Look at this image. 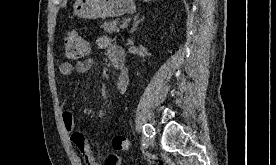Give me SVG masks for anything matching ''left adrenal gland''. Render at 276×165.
Returning a JSON list of instances; mask_svg holds the SVG:
<instances>
[{"label": "left adrenal gland", "instance_id": "1", "mask_svg": "<svg viewBox=\"0 0 276 165\" xmlns=\"http://www.w3.org/2000/svg\"><path fill=\"white\" fill-rule=\"evenodd\" d=\"M143 19H144V18L139 19V14H136V15L134 16L133 25H132V28H131V30H130V33L134 32V31L136 30V28L138 27L139 23H140L141 21H143Z\"/></svg>", "mask_w": 276, "mask_h": 165}]
</instances>
